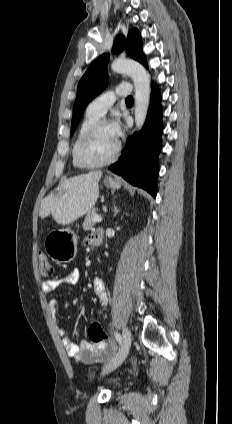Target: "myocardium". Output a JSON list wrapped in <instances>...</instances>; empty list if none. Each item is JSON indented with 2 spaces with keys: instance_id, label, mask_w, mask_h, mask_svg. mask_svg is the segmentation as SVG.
I'll use <instances>...</instances> for the list:
<instances>
[{
  "instance_id": "f54148a6",
  "label": "myocardium",
  "mask_w": 232,
  "mask_h": 424,
  "mask_svg": "<svg viewBox=\"0 0 232 424\" xmlns=\"http://www.w3.org/2000/svg\"><path fill=\"white\" fill-rule=\"evenodd\" d=\"M105 125H110V122L106 119L99 118L86 130V132L80 138L76 148V158L82 167L96 168L105 166L112 163L118 157L121 150V143L119 140H117L114 152L106 159L100 161H91L85 156L84 150L86 145L90 142V140L97 133V131Z\"/></svg>"
}]
</instances>
